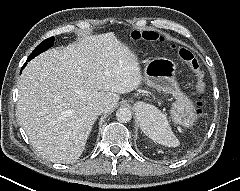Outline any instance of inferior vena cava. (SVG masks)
I'll return each mask as SVG.
<instances>
[{
	"instance_id": "1",
	"label": "inferior vena cava",
	"mask_w": 240,
	"mask_h": 191,
	"mask_svg": "<svg viewBox=\"0 0 240 191\" xmlns=\"http://www.w3.org/2000/svg\"><path fill=\"white\" fill-rule=\"evenodd\" d=\"M94 109L97 113H104L107 111L108 107L105 103H99V104L95 105Z\"/></svg>"
}]
</instances>
